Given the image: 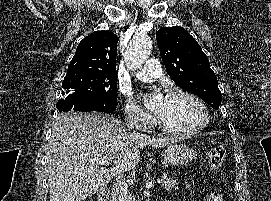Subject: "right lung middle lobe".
<instances>
[{
  "label": "right lung middle lobe",
  "instance_id": "dd1d6c3e",
  "mask_svg": "<svg viewBox=\"0 0 271 201\" xmlns=\"http://www.w3.org/2000/svg\"><path fill=\"white\" fill-rule=\"evenodd\" d=\"M62 88L64 97H78L91 101H117L116 74L67 72Z\"/></svg>",
  "mask_w": 271,
  "mask_h": 201
}]
</instances>
